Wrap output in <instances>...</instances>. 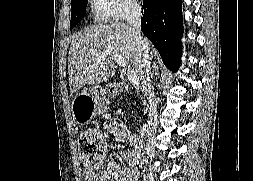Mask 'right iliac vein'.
I'll return each instance as SVG.
<instances>
[{"instance_id": "obj_1", "label": "right iliac vein", "mask_w": 253, "mask_h": 181, "mask_svg": "<svg viewBox=\"0 0 253 181\" xmlns=\"http://www.w3.org/2000/svg\"><path fill=\"white\" fill-rule=\"evenodd\" d=\"M144 181H154V178H153V175L151 174V172L146 174Z\"/></svg>"}]
</instances>
